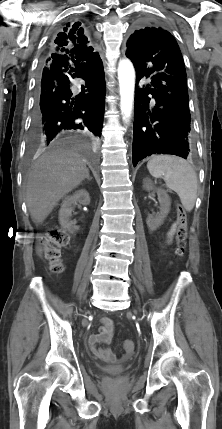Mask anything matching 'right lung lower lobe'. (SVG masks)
Masks as SVG:
<instances>
[{"mask_svg": "<svg viewBox=\"0 0 222 429\" xmlns=\"http://www.w3.org/2000/svg\"><path fill=\"white\" fill-rule=\"evenodd\" d=\"M86 81L81 92L70 90V78ZM105 98L103 63L99 54L79 61L71 54H51L42 62L31 137L53 144L75 131L101 136Z\"/></svg>", "mask_w": 222, "mask_h": 429, "instance_id": "1", "label": "right lung lower lobe"}]
</instances>
